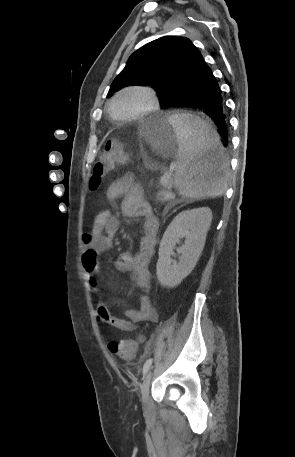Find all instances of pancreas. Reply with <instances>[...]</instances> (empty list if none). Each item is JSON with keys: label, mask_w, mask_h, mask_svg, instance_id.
I'll return each instance as SVG.
<instances>
[{"label": "pancreas", "mask_w": 295, "mask_h": 457, "mask_svg": "<svg viewBox=\"0 0 295 457\" xmlns=\"http://www.w3.org/2000/svg\"><path fill=\"white\" fill-rule=\"evenodd\" d=\"M161 190L158 193V199L162 201H169L174 198V194L171 192L172 182L169 180L166 184L160 182Z\"/></svg>", "instance_id": "1"}]
</instances>
